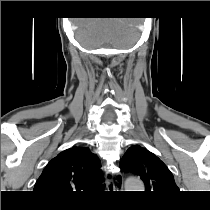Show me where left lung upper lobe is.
I'll return each instance as SVG.
<instances>
[{
    "instance_id": "obj_1",
    "label": "left lung upper lobe",
    "mask_w": 210,
    "mask_h": 210,
    "mask_svg": "<svg viewBox=\"0 0 210 210\" xmlns=\"http://www.w3.org/2000/svg\"><path fill=\"white\" fill-rule=\"evenodd\" d=\"M120 167L140 176L148 193L168 195L179 190L167 166L156 155L139 145H133L126 151Z\"/></svg>"
}]
</instances>
